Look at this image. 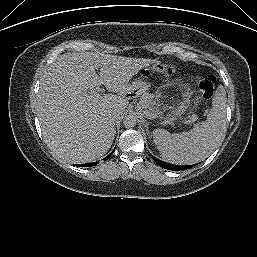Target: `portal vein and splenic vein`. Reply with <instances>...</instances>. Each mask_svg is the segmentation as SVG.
<instances>
[{"label": "portal vein and splenic vein", "mask_w": 257, "mask_h": 257, "mask_svg": "<svg viewBox=\"0 0 257 257\" xmlns=\"http://www.w3.org/2000/svg\"><path fill=\"white\" fill-rule=\"evenodd\" d=\"M84 98L87 100H97L101 98V95L97 91H91L90 93H85ZM144 114L148 119L154 118V115L147 110L144 111ZM169 124L172 125V123H169Z\"/></svg>", "instance_id": "obj_1"}]
</instances>
